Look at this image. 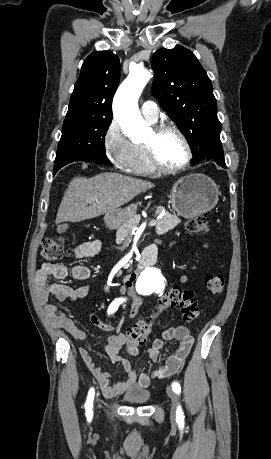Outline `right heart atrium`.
<instances>
[{"instance_id":"1","label":"right heart atrium","mask_w":271,"mask_h":459,"mask_svg":"<svg viewBox=\"0 0 271 459\" xmlns=\"http://www.w3.org/2000/svg\"><path fill=\"white\" fill-rule=\"evenodd\" d=\"M102 147L107 159L116 168H125L130 153V141L115 120H112L104 130Z\"/></svg>"}]
</instances>
